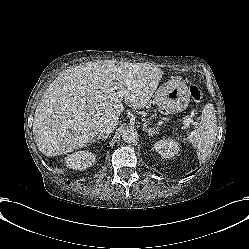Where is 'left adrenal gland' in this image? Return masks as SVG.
Instances as JSON below:
<instances>
[{
    "label": "left adrenal gland",
    "instance_id": "1",
    "mask_svg": "<svg viewBox=\"0 0 249 249\" xmlns=\"http://www.w3.org/2000/svg\"><path fill=\"white\" fill-rule=\"evenodd\" d=\"M143 131H145L146 133H148L149 136H152L153 134H158V132L156 131L155 128H148L147 125H143Z\"/></svg>",
    "mask_w": 249,
    "mask_h": 249
}]
</instances>
